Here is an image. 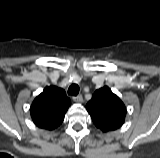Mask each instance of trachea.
<instances>
[{
	"instance_id": "trachea-1",
	"label": "trachea",
	"mask_w": 160,
	"mask_h": 158,
	"mask_svg": "<svg viewBox=\"0 0 160 158\" xmlns=\"http://www.w3.org/2000/svg\"><path fill=\"white\" fill-rule=\"evenodd\" d=\"M79 86L77 84H72L69 89H68V94L69 95H73V96H77L79 93Z\"/></svg>"
}]
</instances>
